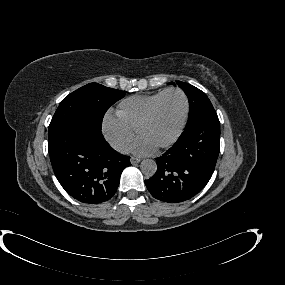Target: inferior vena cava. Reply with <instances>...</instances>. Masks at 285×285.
Wrapping results in <instances>:
<instances>
[{
  "mask_svg": "<svg viewBox=\"0 0 285 285\" xmlns=\"http://www.w3.org/2000/svg\"><path fill=\"white\" fill-rule=\"evenodd\" d=\"M111 147L116 151L126 154L129 152V146L121 141H115L111 143Z\"/></svg>",
  "mask_w": 285,
  "mask_h": 285,
  "instance_id": "602c4592",
  "label": "inferior vena cava"
}]
</instances>
